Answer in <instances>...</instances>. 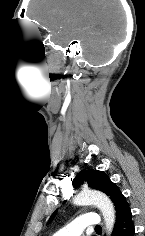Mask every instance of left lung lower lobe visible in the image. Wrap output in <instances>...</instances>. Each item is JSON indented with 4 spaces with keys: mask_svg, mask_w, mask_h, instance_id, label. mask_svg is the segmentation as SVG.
I'll return each instance as SVG.
<instances>
[{
    "mask_svg": "<svg viewBox=\"0 0 145 236\" xmlns=\"http://www.w3.org/2000/svg\"><path fill=\"white\" fill-rule=\"evenodd\" d=\"M135 229L132 220L131 210L128 207L126 210L119 212L116 215V221L112 236H134Z\"/></svg>",
    "mask_w": 145,
    "mask_h": 236,
    "instance_id": "left-lung-lower-lobe-1",
    "label": "left lung lower lobe"
}]
</instances>
